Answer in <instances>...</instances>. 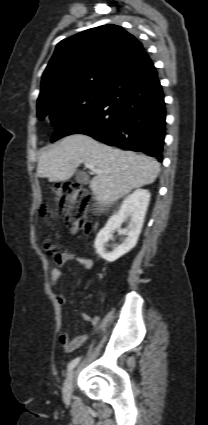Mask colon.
I'll list each match as a JSON object with an SVG mask.
<instances>
[{"mask_svg":"<svg viewBox=\"0 0 208 425\" xmlns=\"http://www.w3.org/2000/svg\"><path fill=\"white\" fill-rule=\"evenodd\" d=\"M53 192L57 202V207L65 209V218L68 227L73 232L89 231V225L85 219V210L89 200L88 192L79 184L74 182H63L57 184ZM44 215L53 214V209L49 205H44L41 208ZM48 255L54 256L56 259L60 256V248L53 244L44 246Z\"/></svg>","mask_w":208,"mask_h":425,"instance_id":"1","label":"colon"}]
</instances>
